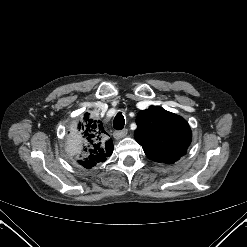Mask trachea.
<instances>
[{
	"label": "trachea",
	"instance_id": "trachea-1",
	"mask_svg": "<svg viewBox=\"0 0 247 247\" xmlns=\"http://www.w3.org/2000/svg\"><path fill=\"white\" fill-rule=\"evenodd\" d=\"M124 125H125V119L122 113L120 112L114 118L113 127L116 130H122L124 128Z\"/></svg>",
	"mask_w": 247,
	"mask_h": 247
}]
</instances>
